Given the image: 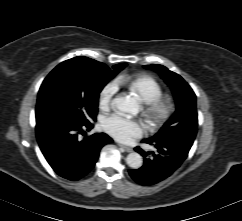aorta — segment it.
<instances>
[{
	"mask_svg": "<svg viewBox=\"0 0 242 221\" xmlns=\"http://www.w3.org/2000/svg\"><path fill=\"white\" fill-rule=\"evenodd\" d=\"M113 105L120 111L133 113L137 110V103L130 96H118L113 100ZM126 163L132 169H138L143 164L142 156L137 152H132L127 155Z\"/></svg>",
	"mask_w": 242,
	"mask_h": 221,
	"instance_id": "aorta-1",
	"label": "aorta"
}]
</instances>
